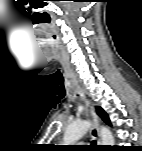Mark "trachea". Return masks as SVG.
<instances>
[{"label":"trachea","mask_w":142,"mask_h":151,"mask_svg":"<svg viewBox=\"0 0 142 151\" xmlns=\"http://www.w3.org/2000/svg\"><path fill=\"white\" fill-rule=\"evenodd\" d=\"M93 144H96V142H95V141H93Z\"/></svg>","instance_id":"trachea-1"}]
</instances>
